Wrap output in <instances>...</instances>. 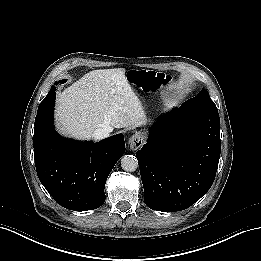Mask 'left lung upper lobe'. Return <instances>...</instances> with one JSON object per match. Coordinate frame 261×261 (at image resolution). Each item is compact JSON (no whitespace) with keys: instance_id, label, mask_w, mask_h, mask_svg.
I'll list each match as a JSON object with an SVG mask.
<instances>
[{"instance_id":"left-lung-upper-lobe-1","label":"left lung upper lobe","mask_w":261,"mask_h":261,"mask_svg":"<svg viewBox=\"0 0 261 261\" xmlns=\"http://www.w3.org/2000/svg\"><path fill=\"white\" fill-rule=\"evenodd\" d=\"M198 100L204 101V102H208V103H212L215 104L209 97V94L207 93V91L202 90L196 97H194Z\"/></svg>"}]
</instances>
